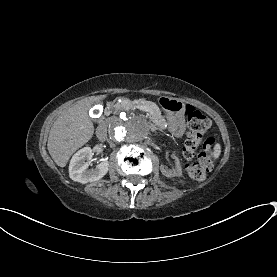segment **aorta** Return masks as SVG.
<instances>
[{
    "mask_svg": "<svg viewBox=\"0 0 277 277\" xmlns=\"http://www.w3.org/2000/svg\"><path fill=\"white\" fill-rule=\"evenodd\" d=\"M149 126L148 120L142 115H122L110 122V138L123 146L135 145L148 137Z\"/></svg>",
    "mask_w": 277,
    "mask_h": 277,
    "instance_id": "1",
    "label": "aorta"
}]
</instances>
